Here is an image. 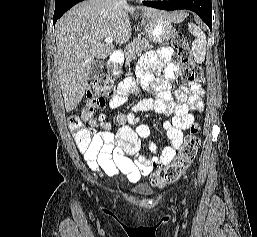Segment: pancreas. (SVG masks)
<instances>
[{"instance_id": "pancreas-1", "label": "pancreas", "mask_w": 257, "mask_h": 237, "mask_svg": "<svg viewBox=\"0 0 257 237\" xmlns=\"http://www.w3.org/2000/svg\"><path fill=\"white\" fill-rule=\"evenodd\" d=\"M152 47L153 46L149 43V41L145 39H142V40L139 38L134 39L124 49L126 61L128 62L132 61L134 57L140 55L142 51L149 50Z\"/></svg>"}]
</instances>
